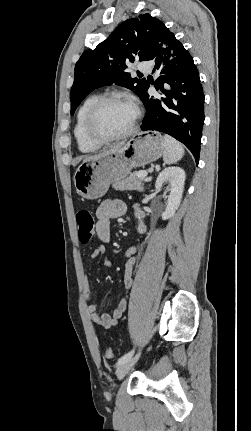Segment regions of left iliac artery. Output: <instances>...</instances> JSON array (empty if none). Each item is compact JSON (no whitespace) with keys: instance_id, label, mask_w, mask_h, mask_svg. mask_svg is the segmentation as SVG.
Wrapping results in <instances>:
<instances>
[{"instance_id":"44dca946","label":"left iliac artery","mask_w":251,"mask_h":431,"mask_svg":"<svg viewBox=\"0 0 251 431\" xmlns=\"http://www.w3.org/2000/svg\"><path fill=\"white\" fill-rule=\"evenodd\" d=\"M133 353H134V351L131 350L130 352H128L125 355H123L122 357H120L118 359L117 364L119 365V364L124 363L125 361H127L129 358H131V356L133 355Z\"/></svg>"}]
</instances>
